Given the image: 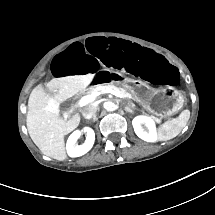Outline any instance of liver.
Returning <instances> with one entry per match:
<instances>
[{
	"mask_svg": "<svg viewBox=\"0 0 215 215\" xmlns=\"http://www.w3.org/2000/svg\"><path fill=\"white\" fill-rule=\"evenodd\" d=\"M94 74L74 75L53 78L46 84L51 97L38 86L34 88L28 100V133L43 154L63 161L67 158L64 136L76 129L80 115L76 113L69 120L59 117L60 103L78 93H83L92 82Z\"/></svg>",
	"mask_w": 215,
	"mask_h": 215,
	"instance_id": "6515ba94",
	"label": "liver"
}]
</instances>
